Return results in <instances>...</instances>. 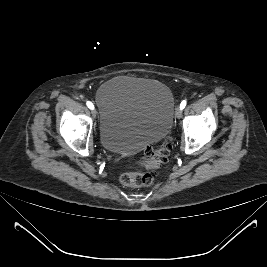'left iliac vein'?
I'll use <instances>...</instances> for the list:
<instances>
[{
    "mask_svg": "<svg viewBox=\"0 0 267 267\" xmlns=\"http://www.w3.org/2000/svg\"><path fill=\"white\" fill-rule=\"evenodd\" d=\"M175 115H176L177 118H181V116H182V109L180 107H177L176 108Z\"/></svg>",
    "mask_w": 267,
    "mask_h": 267,
    "instance_id": "obj_1",
    "label": "left iliac vein"
}]
</instances>
